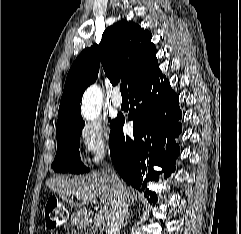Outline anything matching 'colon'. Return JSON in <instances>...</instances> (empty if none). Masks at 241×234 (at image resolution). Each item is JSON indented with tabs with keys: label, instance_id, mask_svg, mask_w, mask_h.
I'll return each instance as SVG.
<instances>
[{
	"label": "colon",
	"instance_id": "1",
	"mask_svg": "<svg viewBox=\"0 0 241 234\" xmlns=\"http://www.w3.org/2000/svg\"><path fill=\"white\" fill-rule=\"evenodd\" d=\"M44 220L49 229H55L66 221V209L53 196L46 200Z\"/></svg>",
	"mask_w": 241,
	"mask_h": 234
}]
</instances>
